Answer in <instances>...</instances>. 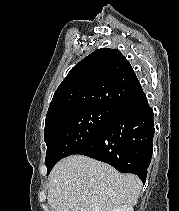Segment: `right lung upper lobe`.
Here are the masks:
<instances>
[{
  "instance_id": "right-lung-upper-lobe-1",
  "label": "right lung upper lobe",
  "mask_w": 179,
  "mask_h": 211,
  "mask_svg": "<svg viewBox=\"0 0 179 211\" xmlns=\"http://www.w3.org/2000/svg\"><path fill=\"white\" fill-rule=\"evenodd\" d=\"M140 88L135 72L119 50L98 49L76 64L59 85L45 125L89 108L115 110Z\"/></svg>"
}]
</instances>
